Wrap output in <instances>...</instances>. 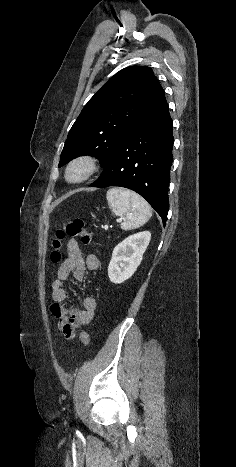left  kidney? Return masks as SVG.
I'll return each instance as SVG.
<instances>
[{
  "mask_svg": "<svg viewBox=\"0 0 236 467\" xmlns=\"http://www.w3.org/2000/svg\"><path fill=\"white\" fill-rule=\"evenodd\" d=\"M150 239L151 233L143 231L127 237L114 248L108 266V276L112 283L121 284L134 274Z\"/></svg>",
  "mask_w": 236,
  "mask_h": 467,
  "instance_id": "5707ae66",
  "label": "left kidney"
}]
</instances>
